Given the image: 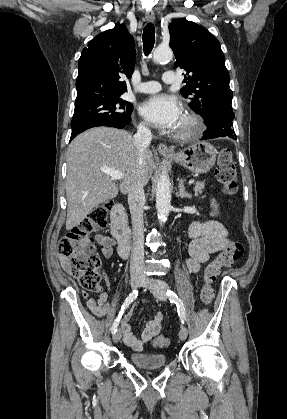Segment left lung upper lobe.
<instances>
[{"mask_svg": "<svg viewBox=\"0 0 287 419\" xmlns=\"http://www.w3.org/2000/svg\"><path fill=\"white\" fill-rule=\"evenodd\" d=\"M170 47L175 53V66L186 70V86L181 94L189 106L208 120L213 109L231 104L229 73L219 41L204 27L186 19L170 23Z\"/></svg>", "mask_w": 287, "mask_h": 419, "instance_id": "5c2ea615", "label": "left lung upper lobe"}]
</instances>
